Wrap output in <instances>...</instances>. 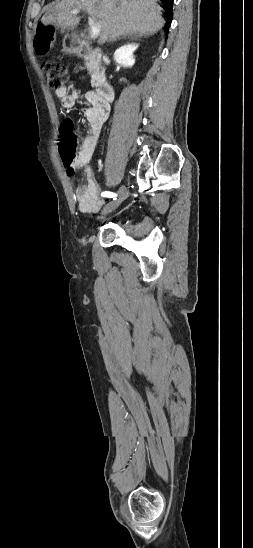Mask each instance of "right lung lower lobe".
I'll return each mask as SVG.
<instances>
[{"instance_id": "right-lung-lower-lobe-1", "label": "right lung lower lobe", "mask_w": 253, "mask_h": 548, "mask_svg": "<svg viewBox=\"0 0 253 548\" xmlns=\"http://www.w3.org/2000/svg\"><path fill=\"white\" fill-rule=\"evenodd\" d=\"M166 8L169 10V17L167 18V21H168V24L170 25L171 21H172V4H173V0H161Z\"/></svg>"}]
</instances>
